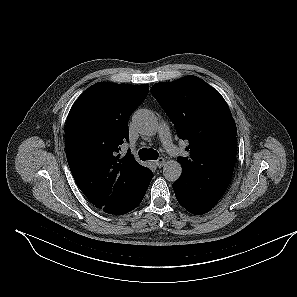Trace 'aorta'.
Here are the masks:
<instances>
[{
  "mask_svg": "<svg viewBox=\"0 0 297 297\" xmlns=\"http://www.w3.org/2000/svg\"><path fill=\"white\" fill-rule=\"evenodd\" d=\"M132 122L139 133L153 135L157 130V120L152 112L146 109L137 110L132 116ZM182 173V167L177 160H168L163 167V175L167 181L175 182Z\"/></svg>",
  "mask_w": 297,
  "mask_h": 297,
  "instance_id": "obj_1",
  "label": "aorta"
}]
</instances>
